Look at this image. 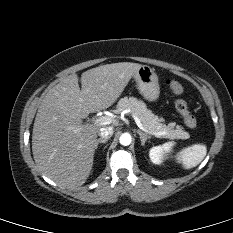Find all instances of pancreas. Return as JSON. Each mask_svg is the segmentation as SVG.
<instances>
[{
	"label": "pancreas",
	"mask_w": 233,
	"mask_h": 233,
	"mask_svg": "<svg viewBox=\"0 0 233 233\" xmlns=\"http://www.w3.org/2000/svg\"><path fill=\"white\" fill-rule=\"evenodd\" d=\"M128 109L140 119L143 126L150 132H166V135L163 136L171 139H187L190 137L188 132L175 123H170L168 126L163 124V118L154 115L151 110L147 109L143 101L134 97L121 98L114 113L119 114Z\"/></svg>",
	"instance_id": "1"
}]
</instances>
